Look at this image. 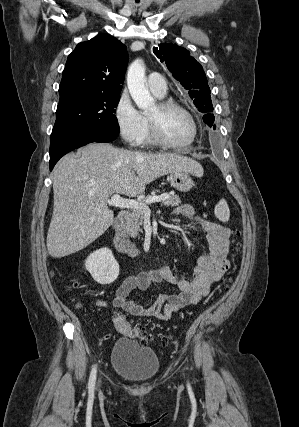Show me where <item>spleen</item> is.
Segmentation results:
<instances>
[{
	"label": "spleen",
	"mask_w": 299,
	"mask_h": 427,
	"mask_svg": "<svg viewBox=\"0 0 299 427\" xmlns=\"http://www.w3.org/2000/svg\"><path fill=\"white\" fill-rule=\"evenodd\" d=\"M215 216L222 222H228L230 217L229 207L225 199H221L214 209Z\"/></svg>",
	"instance_id": "1"
}]
</instances>
